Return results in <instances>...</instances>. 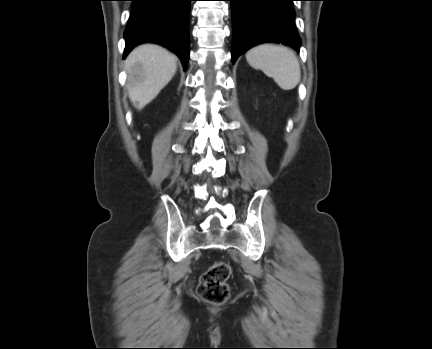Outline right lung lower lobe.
I'll use <instances>...</instances> for the list:
<instances>
[{"instance_id": "1", "label": "right lung lower lobe", "mask_w": 432, "mask_h": 349, "mask_svg": "<svg viewBox=\"0 0 432 349\" xmlns=\"http://www.w3.org/2000/svg\"><path fill=\"white\" fill-rule=\"evenodd\" d=\"M123 58L138 44L157 43L172 50L186 70L189 57L188 18L191 0H131Z\"/></svg>"}]
</instances>
